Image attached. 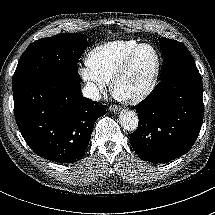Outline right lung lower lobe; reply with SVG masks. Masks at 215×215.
Returning a JSON list of instances; mask_svg holds the SVG:
<instances>
[{"label":"right lung lower lobe","instance_id":"obj_1","mask_svg":"<svg viewBox=\"0 0 215 215\" xmlns=\"http://www.w3.org/2000/svg\"><path fill=\"white\" fill-rule=\"evenodd\" d=\"M18 128L30 148L52 162L81 159L96 120L106 113L82 96L79 82L55 78L27 81L13 89Z\"/></svg>","mask_w":215,"mask_h":215}]
</instances>
